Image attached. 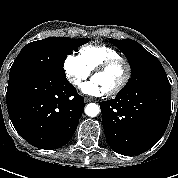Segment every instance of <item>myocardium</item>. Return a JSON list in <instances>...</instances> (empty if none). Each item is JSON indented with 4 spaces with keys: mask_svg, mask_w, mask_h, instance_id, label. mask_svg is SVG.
<instances>
[{
    "mask_svg": "<svg viewBox=\"0 0 178 178\" xmlns=\"http://www.w3.org/2000/svg\"><path fill=\"white\" fill-rule=\"evenodd\" d=\"M119 63H122L124 65L125 75H124L121 83L117 87H115L114 89H112L109 92H106V94L108 96L117 95L118 93L123 91L125 89V87L128 85L130 78H131V72H132L130 62L127 59H125L121 56L120 57H114V58L108 59L105 62H103L102 64H100L92 73V78H93L94 76L105 72L106 70H108L112 66L119 64Z\"/></svg>",
    "mask_w": 178,
    "mask_h": 178,
    "instance_id": "1",
    "label": "myocardium"
}]
</instances>
